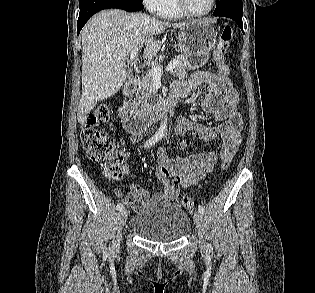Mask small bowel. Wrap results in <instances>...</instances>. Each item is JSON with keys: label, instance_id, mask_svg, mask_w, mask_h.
Listing matches in <instances>:
<instances>
[{"label": "small bowel", "instance_id": "small-bowel-1", "mask_svg": "<svg viewBox=\"0 0 315 293\" xmlns=\"http://www.w3.org/2000/svg\"><path fill=\"white\" fill-rule=\"evenodd\" d=\"M206 87L207 93L201 102V107L207 114L219 122L217 126H203L186 117H181L174 129L176 136L190 132L196 139L209 142L220 137L222 143L219 148L210 152H195L190 150L189 143L183 140L182 150L187 151L184 157L169 158L166 148L158 151L154 175L160 182L162 190L149 198L148 192L137 184L130 190L126 205L135 211H140L149 203L175 202L182 188L196 185L206 174L210 173L215 165L224 160L231 161L242 141L243 122L237 110L238 94H230L227 85L212 72L198 71L190 76L188 81H179L173 85L172 92L178 97L192 99ZM140 134H133L131 140L137 143ZM116 195L122 198L121 191Z\"/></svg>", "mask_w": 315, "mask_h": 293}]
</instances>
